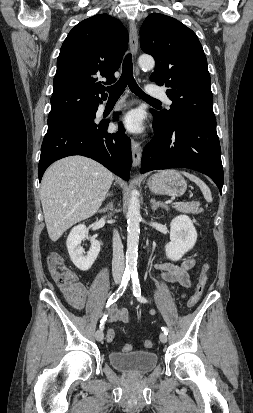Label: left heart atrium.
<instances>
[{
    "mask_svg": "<svg viewBox=\"0 0 253 413\" xmlns=\"http://www.w3.org/2000/svg\"><path fill=\"white\" fill-rule=\"evenodd\" d=\"M116 126L130 133H141L144 129L141 112L139 110H131L123 114Z\"/></svg>",
    "mask_w": 253,
    "mask_h": 413,
    "instance_id": "1",
    "label": "left heart atrium"
}]
</instances>
